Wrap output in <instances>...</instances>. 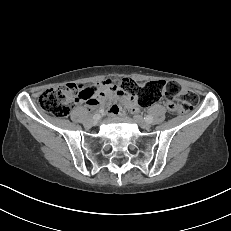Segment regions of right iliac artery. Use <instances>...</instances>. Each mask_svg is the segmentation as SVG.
<instances>
[{
	"label": "right iliac artery",
	"mask_w": 231,
	"mask_h": 231,
	"mask_svg": "<svg viewBox=\"0 0 231 231\" xmlns=\"http://www.w3.org/2000/svg\"><path fill=\"white\" fill-rule=\"evenodd\" d=\"M97 115H98V114H95V115L93 116V118H96V117H97Z\"/></svg>",
	"instance_id": "1"
}]
</instances>
